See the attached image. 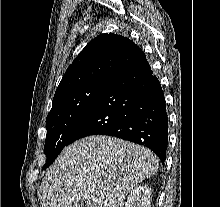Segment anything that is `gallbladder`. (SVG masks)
Returning a JSON list of instances; mask_svg holds the SVG:
<instances>
[{"label":"gallbladder","instance_id":"gallbladder-1","mask_svg":"<svg viewBox=\"0 0 220 207\" xmlns=\"http://www.w3.org/2000/svg\"><path fill=\"white\" fill-rule=\"evenodd\" d=\"M80 207H86L85 205H82V206H80Z\"/></svg>","mask_w":220,"mask_h":207}]
</instances>
